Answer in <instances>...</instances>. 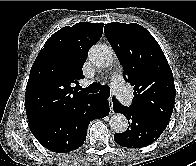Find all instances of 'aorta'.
<instances>
[{"mask_svg": "<svg viewBox=\"0 0 196 166\" xmlns=\"http://www.w3.org/2000/svg\"><path fill=\"white\" fill-rule=\"evenodd\" d=\"M89 59L95 66L106 68L112 64L114 52L106 45L96 44L89 51ZM110 126L114 132L122 133L128 128V120L123 114L117 113L111 116Z\"/></svg>", "mask_w": 196, "mask_h": 166, "instance_id": "1", "label": "aorta"}]
</instances>
